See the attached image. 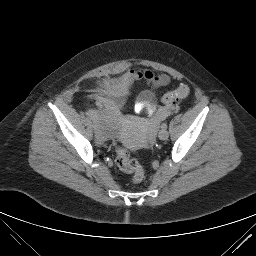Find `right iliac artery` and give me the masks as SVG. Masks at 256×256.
<instances>
[{"label":"right iliac artery","mask_w":256,"mask_h":256,"mask_svg":"<svg viewBox=\"0 0 256 256\" xmlns=\"http://www.w3.org/2000/svg\"><path fill=\"white\" fill-rule=\"evenodd\" d=\"M86 114H87V115H88V117H90L91 119L96 118V116H95V114H94V112H93L92 110L87 111V113H86Z\"/></svg>","instance_id":"1"}]
</instances>
